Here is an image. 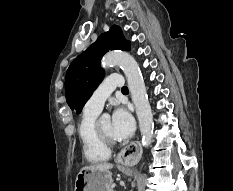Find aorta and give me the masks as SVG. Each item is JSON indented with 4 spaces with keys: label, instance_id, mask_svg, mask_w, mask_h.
Wrapping results in <instances>:
<instances>
[{
    "label": "aorta",
    "instance_id": "1",
    "mask_svg": "<svg viewBox=\"0 0 233 191\" xmlns=\"http://www.w3.org/2000/svg\"><path fill=\"white\" fill-rule=\"evenodd\" d=\"M102 64L105 67L119 66L122 68L127 78L132 101L135 105L142 145L149 147L153 137V114L138 63L134 57L126 52L112 51L103 57Z\"/></svg>",
    "mask_w": 233,
    "mask_h": 191
}]
</instances>
